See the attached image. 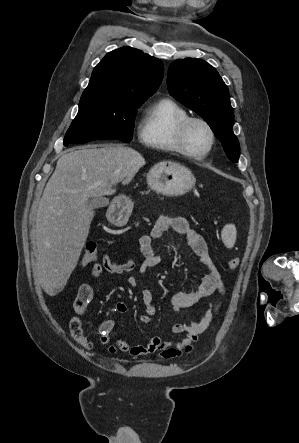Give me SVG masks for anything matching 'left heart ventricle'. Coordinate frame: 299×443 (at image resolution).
Segmentation results:
<instances>
[{"label":"left heart ventricle","instance_id":"1","mask_svg":"<svg viewBox=\"0 0 299 443\" xmlns=\"http://www.w3.org/2000/svg\"><path fill=\"white\" fill-rule=\"evenodd\" d=\"M187 145L194 153H202L208 149L210 134L203 124L199 122L191 124L187 133Z\"/></svg>","mask_w":299,"mask_h":443}]
</instances>
